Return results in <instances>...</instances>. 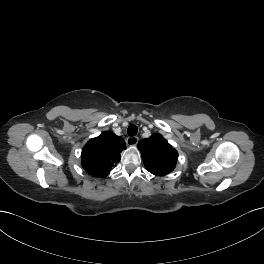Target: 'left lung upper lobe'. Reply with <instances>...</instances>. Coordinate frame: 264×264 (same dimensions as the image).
<instances>
[{
  "instance_id": "5c2ea615",
  "label": "left lung upper lobe",
  "mask_w": 264,
  "mask_h": 264,
  "mask_svg": "<svg viewBox=\"0 0 264 264\" xmlns=\"http://www.w3.org/2000/svg\"><path fill=\"white\" fill-rule=\"evenodd\" d=\"M146 169L154 175L170 173L177 162V151L159 134H154L138 143Z\"/></svg>"
}]
</instances>
